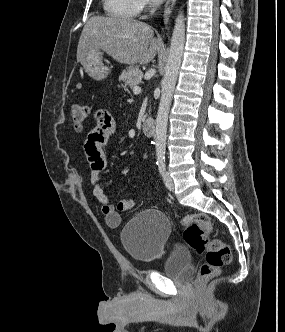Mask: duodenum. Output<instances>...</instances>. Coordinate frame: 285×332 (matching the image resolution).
<instances>
[{"label":"duodenum","mask_w":285,"mask_h":332,"mask_svg":"<svg viewBox=\"0 0 285 332\" xmlns=\"http://www.w3.org/2000/svg\"><path fill=\"white\" fill-rule=\"evenodd\" d=\"M142 131L145 136L153 137L156 131L155 121L151 118H147L142 123Z\"/></svg>","instance_id":"410a0bca"}]
</instances>
